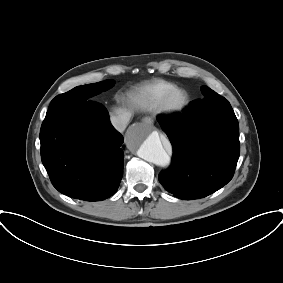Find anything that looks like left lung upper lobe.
Wrapping results in <instances>:
<instances>
[{"label":"left lung upper lobe","instance_id":"left-lung-upper-lobe-1","mask_svg":"<svg viewBox=\"0 0 283 283\" xmlns=\"http://www.w3.org/2000/svg\"><path fill=\"white\" fill-rule=\"evenodd\" d=\"M201 91H202L204 97H208V96L212 95V93L214 92L213 90H211L207 86H202L201 87ZM227 128L229 130L239 131V124H238L237 118L235 116V113H234V116H233L232 120L227 125Z\"/></svg>","mask_w":283,"mask_h":283}]
</instances>
